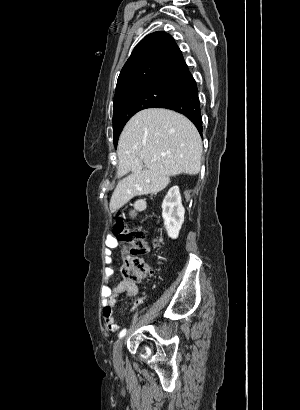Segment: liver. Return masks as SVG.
I'll list each match as a JSON object with an SVG mask.
<instances>
[{
	"instance_id": "6515ba94",
	"label": "liver",
	"mask_w": 300,
	"mask_h": 410,
	"mask_svg": "<svg viewBox=\"0 0 300 410\" xmlns=\"http://www.w3.org/2000/svg\"><path fill=\"white\" fill-rule=\"evenodd\" d=\"M202 149L198 130L182 114L162 108L138 112L119 138L118 175L132 173L118 182L110 200L111 213L134 196L160 192L170 176L198 174Z\"/></svg>"
}]
</instances>
